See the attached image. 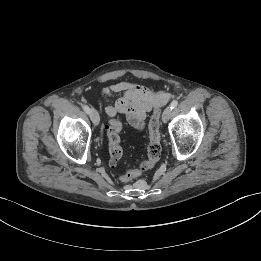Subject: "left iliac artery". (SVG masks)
<instances>
[{"mask_svg":"<svg viewBox=\"0 0 261 261\" xmlns=\"http://www.w3.org/2000/svg\"><path fill=\"white\" fill-rule=\"evenodd\" d=\"M177 105H178V101H177V100H173V101L171 102V104H170V108H171V109H174L175 107H177Z\"/></svg>","mask_w":261,"mask_h":261,"instance_id":"obj_1","label":"left iliac artery"}]
</instances>
